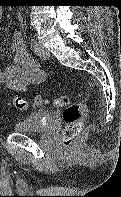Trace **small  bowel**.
I'll list each match as a JSON object with an SVG mask.
<instances>
[{
  "label": "small bowel",
  "mask_w": 121,
  "mask_h": 197,
  "mask_svg": "<svg viewBox=\"0 0 121 197\" xmlns=\"http://www.w3.org/2000/svg\"><path fill=\"white\" fill-rule=\"evenodd\" d=\"M3 15V9L0 7V22ZM11 51L12 64L0 70V83L6 89L25 92L28 86L44 81V72L40 69L39 63L28 53L23 36L19 32L12 35Z\"/></svg>",
  "instance_id": "c3829d8e"
}]
</instances>
